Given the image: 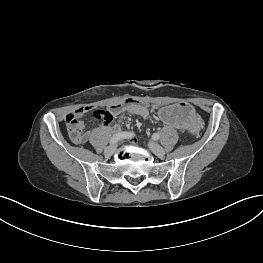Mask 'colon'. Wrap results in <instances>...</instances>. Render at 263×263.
<instances>
[{"label": "colon", "mask_w": 263, "mask_h": 263, "mask_svg": "<svg viewBox=\"0 0 263 263\" xmlns=\"http://www.w3.org/2000/svg\"><path fill=\"white\" fill-rule=\"evenodd\" d=\"M127 103L141 104L139 101L134 99H127L123 102V104H127ZM113 112H114L113 108H108L105 111L95 110L92 113V118L95 120L109 121L113 118ZM65 123H66L68 134L73 142L82 143L86 140V132L84 130V125L74 113H69L66 116Z\"/></svg>", "instance_id": "1"}]
</instances>
